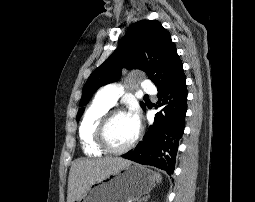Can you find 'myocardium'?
Masks as SVG:
<instances>
[{
	"label": "myocardium",
	"mask_w": 255,
	"mask_h": 202,
	"mask_svg": "<svg viewBox=\"0 0 255 202\" xmlns=\"http://www.w3.org/2000/svg\"><path fill=\"white\" fill-rule=\"evenodd\" d=\"M119 114H126L121 109H109L100 119L96 131H95V142L99 148H101L104 152L111 154H123L129 151L134 145L138 142L141 137V129L140 127L137 130L134 138L125 146L121 148H114L111 146L108 140V128L113 118Z\"/></svg>",
	"instance_id": "1"
}]
</instances>
